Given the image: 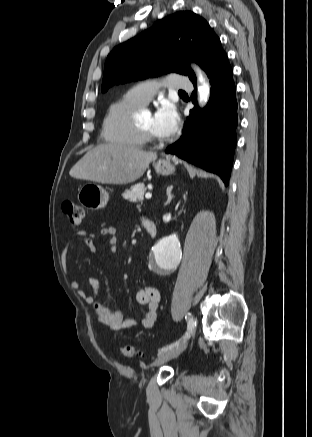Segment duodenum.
<instances>
[{
    "label": "duodenum",
    "mask_w": 312,
    "mask_h": 437,
    "mask_svg": "<svg viewBox=\"0 0 312 437\" xmlns=\"http://www.w3.org/2000/svg\"><path fill=\"white\" fill-rule=\"evenodd\" d=\"M142 224L149 237L152 238L156 235V225L150 218H143Z\"/></svg>",
    "instance_id": "1"
}]
</instances>
